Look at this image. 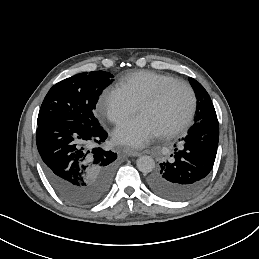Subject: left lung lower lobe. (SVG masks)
<instances>
[{
  "label": "left lung lower lobe",
  "mask_w": 259,
  "mask_h": 259,
  "mask_svg": "<svg viewBox=\"0 0 259 259\" xmlns=\"http://www.w3.org/2000/svg\"><path fill=\"white\" fill-rule=\"evenodd\" d=\"M174 159L160 164L148 178V187L158 196L182 201L196 194L212 170L219 141L217 118L200 120L182 138Z\"/></svg>",
  "instance_id": "1"
}]
</instances>
